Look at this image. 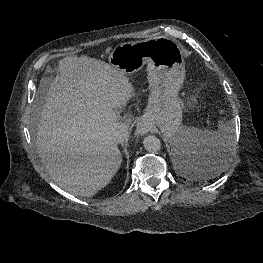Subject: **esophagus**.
Masks as SVG:
<instances>
[{
    "label": "esophagus",
    "instance_id": "1",
    "mask_svg": "<svg viewBox=\"0 0 263 263\" xmlns=\"http://www.w3.org/2000/svg\"><path fill=\"white\" fill-rule=\"evenodd\" d=\"M148 128L144 124H138L137 125V133L139 134H145L147 133Z\"/></svg>",
    "mask_w": 263,
    "mask_h": 263
}]
</instances>
